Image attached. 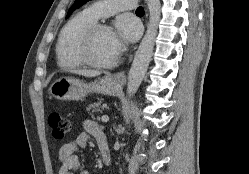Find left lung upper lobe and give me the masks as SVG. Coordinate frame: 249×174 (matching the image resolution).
I'll return each instance as SVG.
<instances>
[{
    "label": "left lung upper lobe",
    "instance_id": "obj_1",
    "mask_svg": "<svg viewBox=\"0 0 249 174\" xmlns=\"http://www.w3.org/2000/svg\"><path fill=\"white\" fill-rule=\"evenodd\" d=\"M90 0H75L74 4L71 6V8L68 11L67 17L76 9L79 8L80 6H82L83 4H85L86 2H88Z\"/></svg>",
    "mask_w": 249,
    "mask_h": 174
}]
</instances>
